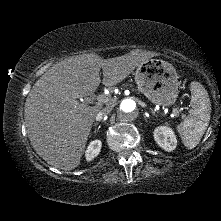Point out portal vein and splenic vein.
I'll list each match as a JSON object with an SVG mask.
<instances>
[{
    "mask_svg": "<svg viewBox=\"0 0 221 221\" xmlns=\"http://www.w3.org/2000/svg\"><path fill=\"white\" fill-rule=\"evenodd\" d=\"M97 101H98V104H100V103H107L108 101H109V98L107 97V95H105V94H101V95H99L98 97H97ZM173 113L175 114V115H178L179 114V111L177 110V109H175V108H173Z\"/></svg>",
    "mask_w": 221,
    "mask_h": 221,
    "instance_id": "18ae733b",
    "label": "portal vein and splenic vein"
}]
</instances>
